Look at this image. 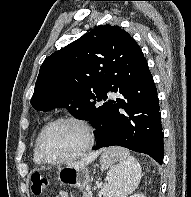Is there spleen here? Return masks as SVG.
Segmentation results:
<instances>
[{
    "label": "spleen",
    "mask_w": 191,
    "mask_h": 197,
    "mask_svg": "<svg viewBox=\"0 0 191 197\" xmlns=\"http://www.w3.org/2000/svg\"><path fill=\"white\" fill-rule=\"evenodd\" d=\"M118 160L108 172V183L105 185V197H127L139 185L142 169L138 160L130 156L129 151L122 147L108 149Z\"/></svg>",
    "instance_id": "3e777b00"
}]
</instances>
